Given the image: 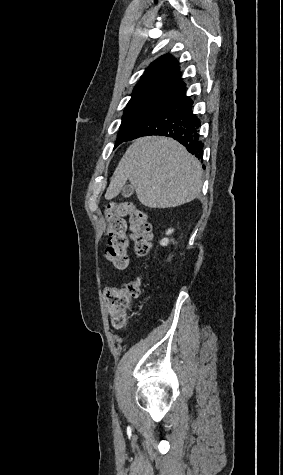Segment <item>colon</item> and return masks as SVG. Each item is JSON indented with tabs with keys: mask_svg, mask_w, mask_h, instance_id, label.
<instances>
[{
	"mask_svg": "<svg viewBox=\"0 0 283 475\" xmlns=\"http://www.w3.org/2000/svg\"><path fill=\"white\" fill-rule=\"evenodd\" d=\"M124 217H127L130 223L131 244L135 254L147 257L152 247L151 228L144 210L136 208L129 201L108 205L105 211L108 245L104 257L118 270H124L129 265V240L125 234ZM139 294L138 280L107 288L105 299L111 324L115 329H127L126 318Z\"/></svg>",
	"mask_w": 283,
	"mask_h": 475,
	"instance_id": "obj_1",
	"label": "colon"
}]
</instances>
